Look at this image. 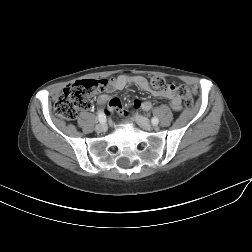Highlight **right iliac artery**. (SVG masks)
Returning <instances> with one entry per match:
<instances>
[{
  "label": "right iliac artery",
  "instance_id": "1",
  "mask_svg": "<svg viewBox=\"0 0 252 252\" xmlns=\"http://www.w3.org/2000/svg\"><path fill=\"white\" fill-rule=\"evenodd\" d=\"M98 116H99V118H101L100 124L104 125L106 123L105 114L102 111H99Z\"/></svg>",
  "mask_w": 252,
  "mask_h": 252
}]
</instances>
